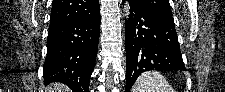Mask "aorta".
<instances>
[{
    "label": "aorta",
    "mask_w": 225,
    "mask_h": 92,
    "mask_svg": "<svg viewBox=\"0 0 225 92\" xmlns=\"http://www.w3.org/2000/svg\"><path fill=\"white\" fill-rule=\"evenodd\" d=\"M128 14H129V8L128 6H125V15L128 16Z\"/></svg>",
    "instance_id": "1"
}]
</instances>
